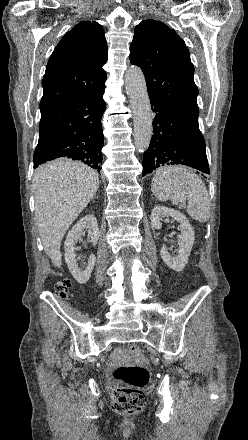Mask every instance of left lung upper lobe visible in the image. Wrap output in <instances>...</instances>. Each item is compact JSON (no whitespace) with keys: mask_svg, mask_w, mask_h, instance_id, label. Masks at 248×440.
Here are the masks:
<instances>
[{"mask_svg":"<svg viewBox=\"0 0 248 440\" xmlns=\"http://www.w3.org/2000/svg\"><path fill=\"white\" fill-rule=\"evenodd\" d=\"M129 59L146 78L150 98L198 125V89L185 42L161 21L148 19L135 27Z\"/></svg>","mask_w":248,"mask_h":440,"instance_id":"1","label":"left lung upper lobe"}]
</instances>
